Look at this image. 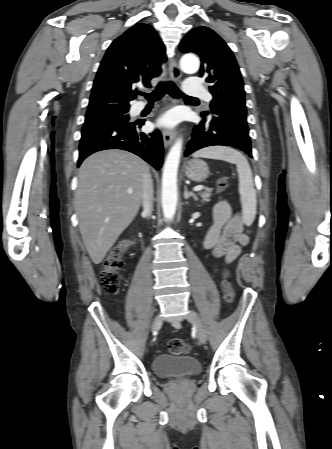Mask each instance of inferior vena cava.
<instances>
[{
	"mask_svg": "<svg viewBox=\"0 0 332 449\" xmlns=\"http://www.w3.org/2000/svg\"><path fill=\"white\" fill-rule=\"evenodd\" d=\"M153 182L149 171L147 170L143 175V189H142V204L143 211L147 216H150L153 211Z\"/></svg>",
	"mask_w": 332,
	"mask_h": 449,
	"instance_id": "inferior-vena-cava-1",
	"label": "inferior vena cava"
}]
</instances>
